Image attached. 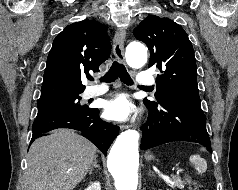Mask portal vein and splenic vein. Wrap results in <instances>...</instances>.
Wrapping results in <instances>:
<instances>
[{
	"mask_svg": "<svg viewBox=\"0 0 238 190\" xmlns=\"http://www.w3.org/2000/svg\"><path fill=\"white\" fill-rule=\"evenodd\" d=\"M182 171V169H177V172ZM167 182H170L169 179H166Z\"/></svg>",
	"mask_w": 238,
	"mask_h": 190,
	"instance_id": "portal-vein-and-splenic-vein-1",
	"label": "portal vein and splenic vein"
}]
</instances>
